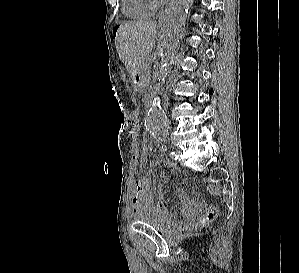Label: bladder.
I'll list each match as a JSON object with an SVG mask.
<instances>
[{
	"instance_id": "31cf9c89",
	"label": "bladder",
	"mask_w": 299,
	"mask_h": 273,
	"mask_svg": "<svg viewBox=\"0 0 299 273\" xmlns=\"http://www.w3.org/2000/svg\"><path fill=\"white\" fill-rule=\"evenodd\" d=\"M133 219L136 223L146 224L158 230H164L169 225V220L154 209L138 210Z\"/></svg>"
}]
</instances>
